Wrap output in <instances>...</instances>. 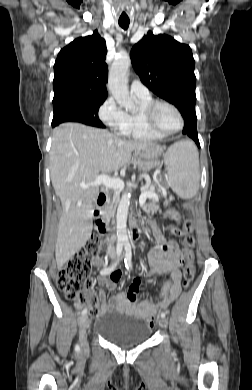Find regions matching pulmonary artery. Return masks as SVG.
Returning a JSON list of instances; mask_svg holds the SVG:
<instances>
[{"mask_svg": "<svg viewBox=\"0 0 252 390\" xmlns=\"http://www.w3.org/2000/svg\"><path fill=\"white\" fill-rule=\"evenodd\" d=\"M130 91L136 98H147L150 96L148 88L139 80L131 82Z\"/></svg>", "mask_w": 252, "mask_h": 390, "instance_id": "pulmonary-artery-1", "label": "pulmonary artery"}]
</instances>
